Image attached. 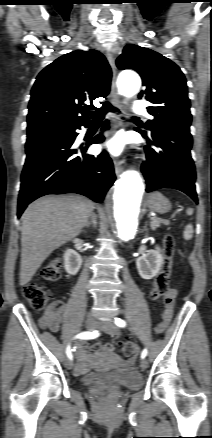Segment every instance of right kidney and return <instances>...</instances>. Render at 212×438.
<instances>
[{"mask_svg":"<svg viewBox=\"0 0 212 438\" xmlns=\"http://www.w3.org/2000/svg\"><path fill=\"white\" fill-rule=\"evenodd\" d=\"M64 268L68 274L75 275L78 273L82 258L75 250L67 249L64 253Z\"/></svg>","mask_w":212,"mask_h":438,"instance_id":"obj_1","label":"right kidney"}]
</instances>
